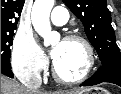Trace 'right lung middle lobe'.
I'll return each mask as SVG.
<instances>
[{
    "label": "right lung middle lobe",
    "mask_w": 121,
    "mask_h": 94,
    "mask_svg": "<svg viewBox=\"0 0 121 94\" xmlns=\"http://www.w3.org/2000/svg\"><path fill=\"white\" fill-rule=\"evenodd\" d=\"M13 36L14 31H1V62H10Z\"/></svg>",
    "instance_id": "obj_1"
}]
</instances>
